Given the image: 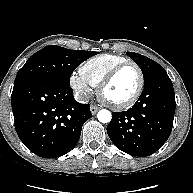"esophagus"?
<instances>
[{"label": "esophagus", "mask_w": 193, "mask_h": 193, "mask_svg": "<svg viewBox=\"0 0 193 193\" xmlns=\"http://www.w3.org/2000/svg\"><path fill=\"white\" fill-rule=\"evenodd\" d=\"M98 110H99V108H98L97 106L92 105V106L90 107V111H91V113H92L93 115L96 114Z\"/></svg>", "instance_id": "34e87169"}]
</instances>
